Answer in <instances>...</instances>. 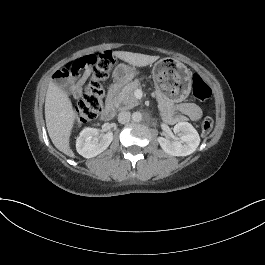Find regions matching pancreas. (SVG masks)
<instances>
[{
	"instance_id": "cf45deb5",
	"label": "pancreas",
	"mask_w": 265,
	"mask_h": 265,
	"mask_svg": "<svg viewBox=\"0 0 265 265\" xmlns=\"http://www.w3.org/2000/svg\"><path fill=\"white\" fill-rule=\"evenodd\" d=\"M137 88H140V82L138 79L125 85L115 99V106L121 110H128L139 105V100L134 96V91ZM155 94L158 101L160 115L165 123L174 124L178 121L188 120L185 116L173 118V102L159 91H156Z\"/></svg>"
}]
</instances>
